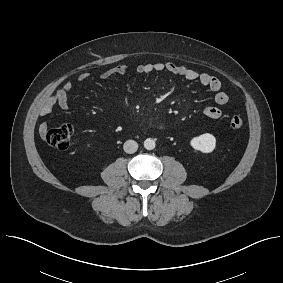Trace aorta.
<instances>
[{"mask_svg":"<svg viewBox=\"0 0 283 283\" xmlns=\"http://www.w3.org/2000/svg\"><path fill=\"white\" fill-rule=\"evenodd\" d=\"M155 140L151 139V138H148L144 141V147L145 149L147 150H152L155 148Z\"/></svg>","mask_w":283,"mask_h":283,"instance_id":"aorta-1","label":"aorta"}]
</instances>
